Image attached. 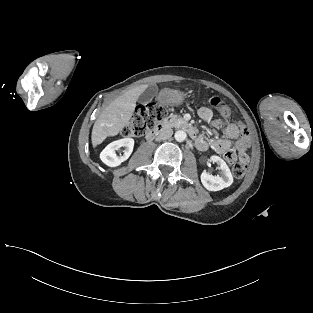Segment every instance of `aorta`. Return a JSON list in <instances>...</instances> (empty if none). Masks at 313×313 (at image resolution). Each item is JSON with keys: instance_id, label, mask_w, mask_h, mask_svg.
Instances as JSON below:
<instances>
[{"instance_id": "762f6f07", "label": "aorta", "mask_w": 313, "mask_h": 313, "mask_svg": "<svg viewBox=\"0 0 313 313\" xmlns=\"http://www.w3.org/2000/svg\"><path fill=\"white\" fill-rule=\"evenodd\" d=\"M174 137H175V140H176V141H178V142H183V141L186 140L187 134H186V132L183 131V130H178V131L175 132Z\"/></svg>"}]
</instances>
